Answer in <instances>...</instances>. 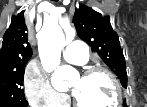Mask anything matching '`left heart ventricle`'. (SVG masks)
<instances>
[{
  "mask_svg": "<svg viewBox=\"0 0 147 107\" xmlns=\"http://www.w3.org/2000/svg\"><path fill=\"white\" fill-rule=\"evenodd\" d=\"M75 97L89 107H110L115 101V88L103 74L77 77L71 82Z\"/></svg>",
  "mask_w": 147,
  "mask_h": 107,
  "instance_id": "1",
  "label": "left heart ventricle"
}]
</instances>
